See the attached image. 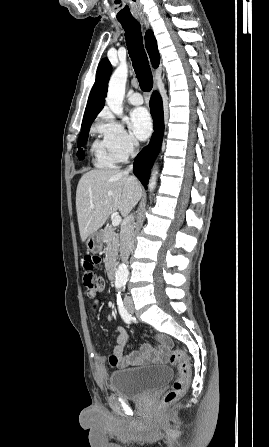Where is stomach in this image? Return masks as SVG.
Segmentation results:
<instances>
[{"label":"stomach","instance_id":"0dacf381","mask_svg":"<svg viewBox=\"0 0 269 447\" xmlns=\"http://www.w3.org/2000/svg\"><path fill=\"white\" fill-rule=\"evenodd\" d=\"M103 243V231H94V233H90L88 239H86V245L92 253H98V251H101Z\"/></svg>","mask_w":269,"mask_h":447}]
</instances>
